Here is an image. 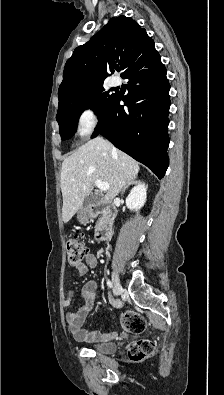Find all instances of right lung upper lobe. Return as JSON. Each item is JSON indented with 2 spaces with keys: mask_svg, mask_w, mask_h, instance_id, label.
I'll use <instances>...</instances> for the list:
<instances>
[{
  "mask_svg": "<svg viewBox=\"0 0 224 395\" xmlns=\"http://www.w3.org/2000/svg\"><path fill=\"white\" fill-rule=\"evenodd\" d=\"M154 48L145 29L130 17L110 19L87 43L78 46L66 62L59 87V107L71 97L103 84L117 63L123 76L134 62Z\"/></svg>",
  "mask_w": 224,
  "mask_h": 395,
  "instance_id": "right-lung-upper-lobe-1",
  "label": "right lung upper lobe"
}]
</instances>
